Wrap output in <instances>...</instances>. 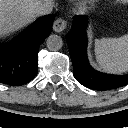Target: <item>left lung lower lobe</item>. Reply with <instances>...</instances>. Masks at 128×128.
<instances>
[{
  "instance_id": "obj_1",
  "label": "left lung lower lobe",
  "mask_w": 128,
  "mask_h": 128,
  "mask_svg": "<svg viewBox=\"0 0 128 128\" xmlns=\"http://www.w3.org/2000/svg\"><path fill=\"white\" fill-rule=\"evenodd\" d=\"M85 16H75L71 31L66 35L74 77L83 86L99 91L115 89L128 84V75L117 76L93 69L87 58V36Z\"/></svg>"
}]
</instances>
